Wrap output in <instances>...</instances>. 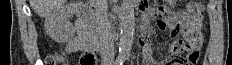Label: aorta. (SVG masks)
Segmentation results:
<instances>
[{"label":"aorta","mask_w":232,"mask_h":65,"mask_svg":"<svg viewBox=\"0 0 232 65\" xmlns=\"http://www.w3.org/2000/svg\"><path fill=\"white\" fill-rule=\"evenodd\" d=\"M135 30L134 7L131 0H122L120 11L119 56L129 57Z\"/></svg>","instance_id":"1"}]
</instances>
